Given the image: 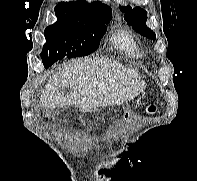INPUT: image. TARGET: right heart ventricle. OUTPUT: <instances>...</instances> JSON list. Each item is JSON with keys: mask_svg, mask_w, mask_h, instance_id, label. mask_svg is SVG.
Masks as SVG:
<instances>
[{"mask_svg": "<svg viewBox=\"0 0 197 181\" xmlns=\"http://www.w3.org/2000/svg\"><path fill=\"white\" fill-rule=\"evenodd\" d=\"M115 46L131 57H140V50L133 35L126 29L118 30L112 38Z\"/></svg>", "mask_w": 197, "mask_h": 181, "instance_id": "1", "label": "right heart ventricle"}]
</instances>
